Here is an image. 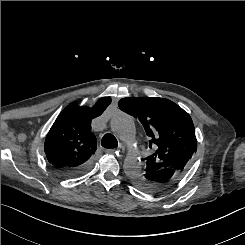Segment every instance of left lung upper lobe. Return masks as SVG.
<instances>
[{
	"label": "left lung upper lobe",
	"instance_id": "left-lung-upper-lobe-1",
	"mask_svg": "<svg viewBox=\"0 0 245 245\" xmlns=\"http://www.w3.org/2000/svg\"><path fill=\"white\" fill-rule=\"evenodd\" d=\"M119 108L138 118L150 137L149 147L156 152L147 157L143 173L133 183L145 192H152V177L166 170L178 174L186 170L196 152L197 140L190 115L174 102L158 97H127L118 102Z\"/></svg>",
	"mask_w": 245,
	"mask_h": 245
}]
</instances>
